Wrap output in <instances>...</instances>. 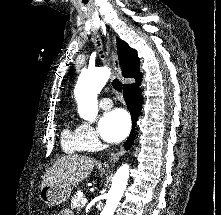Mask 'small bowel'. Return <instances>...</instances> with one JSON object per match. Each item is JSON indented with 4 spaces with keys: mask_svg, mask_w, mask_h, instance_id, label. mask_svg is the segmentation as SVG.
<instances>
[{
    "mask_svg": "<svg viewBox=\"0 0 221 215\" xmlns=\"http://www.w3.org/2000/svg\"><path fill=\"white\" fill-rule=\"evenodd\" d=\"M58 215H73L72 211L68 208L62 210L61 214Z\"/></svg>",
    "mask_w": 221,
    "mask_h": 215,
    "instance_id": "c3829d8e",
    "label": "small bowel"
}]
</instances>
